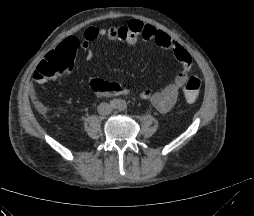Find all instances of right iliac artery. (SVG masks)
<instances>
[{
	"mask_svg": "<svg viewBox=\"0 0 254 216\" xmlns=\"http://www.w3.org/2000/svg\"><path fill=\"white\" fill-rule=\"evenodd\" d=\"M110 104H111L112 107H116L118 105V101L117 100H112L110 102Z\"/></svg>",
	"mask_w": 254,
	"mask_h": 216,
	"instance_id": "right-iliac-artery-1",
	"label": "right iliac artery"
}]
</instances>
